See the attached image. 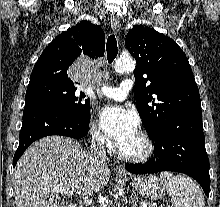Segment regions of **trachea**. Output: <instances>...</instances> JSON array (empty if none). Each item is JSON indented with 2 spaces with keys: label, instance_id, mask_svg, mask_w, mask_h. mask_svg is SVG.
<instances>
[{
  "label": "trachea",
  "instance_id": "3493384b",
  "mask_svg": "<svg viewBox=\"0 0 220 207\" xmlns=\"http://www.w3.org/2000/svg\"><path fill=\"white\" fill-rule=\"evenodd\" d=\"M106 51H107L108 62L112 63L118 53L117 41H116L115 35H110L108 37L107 44H106Z\"/></svg>",
  "mask_w": 220,
  "mask_h": 207
}]
</instances>
